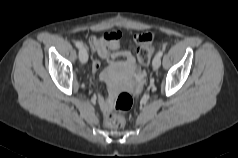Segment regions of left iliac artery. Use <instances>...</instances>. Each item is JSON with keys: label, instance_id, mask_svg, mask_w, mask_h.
<instances>
[{"label": "left iliac artery", "instance_id": "44dca946", "mask_svg": "<svg viewBox=\"0 0 238 158\" xmlns=\"http://www.w3.org/2000/svg\"><path fill=\"white\" fill-rule=\"evenodd\" d=\"M162 55H163V51L159 50L158 53H157V56L161 57Z\"/></svg>", "mask_w": 238, "mask_h": 158}]
</instances>
